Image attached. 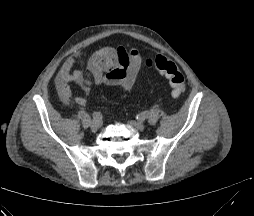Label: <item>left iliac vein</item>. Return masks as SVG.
<instances>
[{
	"mask_svg": "<svg viewBox=\"0 0 254 216\" xmlns=\"http://www.w3.org/2000/svg\"><path fill=\"white\" fill-rule=\"evenodd\" d=\"M131 126L138 129V130H143L144 129V123L139 122V121H131L130 122Z\"/></svg>",
	"mask_w": 254,
	"mask_h": 216,
	"instance_id": "4c4485c4",
	"label": "left iliac vein"
}]
</instances>
